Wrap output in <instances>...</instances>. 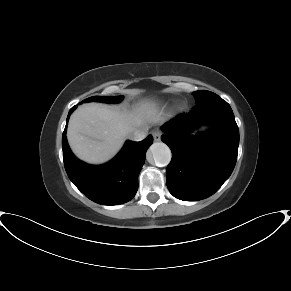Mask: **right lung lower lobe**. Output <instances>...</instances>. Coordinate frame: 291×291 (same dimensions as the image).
Here are the masks:
<instances>
[{
  "mask_svg": "<svg viewBox=\"0 0 291 291\" xmlns=\"http://www.w3.org/2000/svg\"><path fill=\"white\" fill-rule=\"evenodd\" d=\"M73 106L68 114L75 110ZM66 128L62 135L63 161L69 179L90 200L102 205H117L130 201L138 189V175L145 162V154L153 143L151 135L141 142L127 141L110 162L93 166L78 160L71 152Z\"/></svg>",
  "mask_w": 291,
  "mask_h": 291,
  "instance_id": "obj_1",
  "label": "right lung lower lobe"
}]
</instances>
